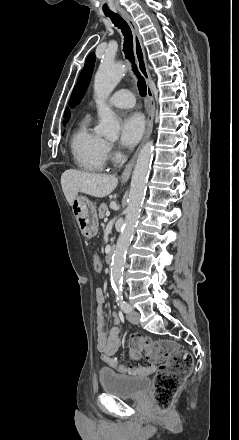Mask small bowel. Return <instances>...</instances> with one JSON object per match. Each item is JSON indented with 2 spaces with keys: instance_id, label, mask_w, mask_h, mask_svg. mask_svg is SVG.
I'll list each match as a JSON object with an SVG mask.
<instances>
[{
  "instance_id": "1",
  "label": "small bowel",
  "mask_w": 239,
  "mask_h": 440,
  "mask_svg": "<svg viewBox=\"0 0 239 440\" xmlns=\"http://www.w3.org/2000/svg\"><path fill=\"white\" fill-rule=\"evenodd\" d=\"M97 303V346L100 351L101 359L111 366L113 356L119 351L122 345L119 330V320L116 315H113V327L109 334L104 330V317H103V303L104 294L101 288L96 289L95 293ZM112 367V366H111Z\"/></svg>"
}]
</instances>
